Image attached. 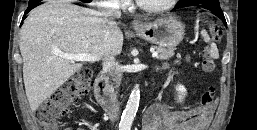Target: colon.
<instances>
[{
	"mask_svg": "<svg viewBox=\"0 0 257 130\" xmlns=\"http://www.w3.org/2000/svg\"><path fill=\"white\" fill-rule=\"evenodd\" d=\"M214 41L220 38L217 28L211 27ZM202 69L206 73L215 70V61L209 51L206 50ZM92 73L89 69H81L73 77L64 82L44 103L35 111V118L44 130H57L59 121L66 115L79 98L86 94L91 88ZM215 97V88L210 86L200 98L201 106L208 108L212 106ZM63 130H70L65 128Z\"/></svg>",
	"mask_w": 257,
	"mask_h": 130,
	"instance_id": "colon-1",
	"label": "colon"
}]
</instances>
